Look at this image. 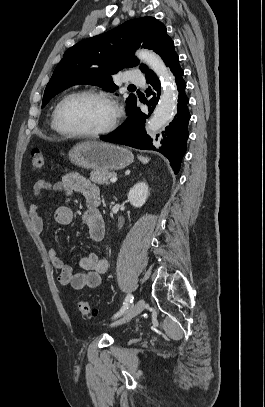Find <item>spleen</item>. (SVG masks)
<instances>
[{
    "mask_svg": "<svg viewBox=\"0 0 265 407\" xmlns=\"http://www.w3.org/2000/svg\"><path fill=\"white\" fill-rule=\"evenodd\" d=\"M138 159H139L143 164H146V163L149 162V158H148V157L138 156Z\"/></svg>",
    "mask_w": 265,
    "mask_h": 407,
    "instance_id": "3e777b00",
    "label": "spleen"
}]
</instances>
